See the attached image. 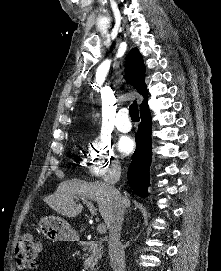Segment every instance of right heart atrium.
Masks as SVG:
<instances>
[{
    "mask_svg": "<svg viewBox=\"0 0 221 271\" xmlns=\"http://www.w3.org/2000/svg\"><path fill=\"white\" fill-rule=\"evenodd\" d=\"M91 149L93 151H88V156L98 157H85V170H105L106 167H111V162H108L112 157L109 146H93Z\"/></svg>",
    "mask_w": 221,
    "mask_h": 271,
    "instance_id": "d8ad5b80",
    "label": "right heart atrium"
}]
</instances>
